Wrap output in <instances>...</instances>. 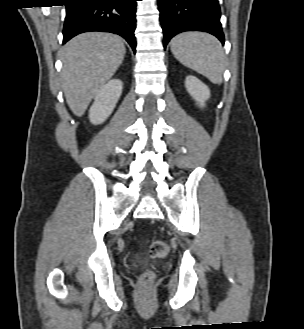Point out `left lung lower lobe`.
Listing matches in <instances>:
<instances>
[{
	"label": "left lung lower lobe",
	"mask_w": 304,
	"mask_h": 329,
	"mask_svg": "<svg viewBox=\"0 0 304 329\" xmlns=\"http://www.w3.org/2000/svg\"><path fill=\"white\" fill-rule=\"evenodd\" d=\"M164 33L163 45L184 31H204L224 44L218 0H158Z\"/></svg>",
	"instance_id": "0a47b994"
}]
</instances>
